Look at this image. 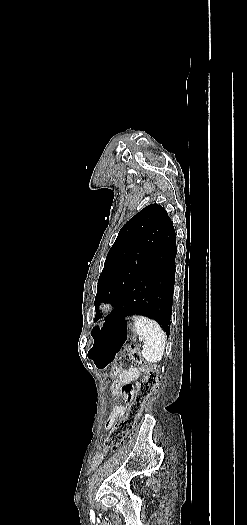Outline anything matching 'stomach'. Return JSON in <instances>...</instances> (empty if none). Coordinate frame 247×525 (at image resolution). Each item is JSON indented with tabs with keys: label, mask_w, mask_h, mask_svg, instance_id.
Wrapping results in <instances>:
<instances>
[{
	"label": "stomach",
	"mask_w": 247,
	"mask_h": 525,
	"mask_svg": "<svg viewBox=\"0 0 247 525\" xmlns=\"http://www.w3.org/2000/svg\"><path fill=\"white\" fill-rule=\"evenodd\" d=\"M136 336L132 318L107 320L91 332V347L88 358L98 370H105L117 357L122 346Z\"/></svg>",
	"instance_id": "stomach-1"
}]
</instances>
